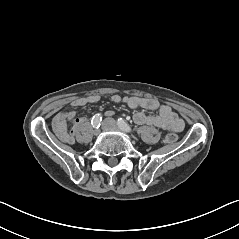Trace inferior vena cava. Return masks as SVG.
Masks as SVG:
<instances>
[{
    "label": "inferior vena cava",
    "instance_id": "inferior-vena-cava-1",
    "mask_svg": "<svg viewBox=\"0 0 239 239\" xmlns=\"http://www.w3.org/2000/svg\"><path fill=\"white\" fill-rule=\"evenodd\" d=\"M101 126L104 131L110 132L115 129L116 123L113 118L107 117L102 120Z\"/></svg>",
    "mask_w": 239,
    "mask_h": 239
}]
</instances>
